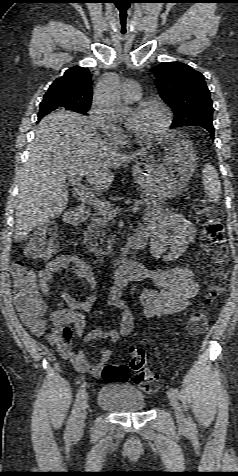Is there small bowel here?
<instances>
[{"label":"small bowel","mask_w":238,"mask_h":476,"mask_svg":"<svg viewBox=\"0 0 238 476\" xmlns=\"http://www.w3.org/2000/svg\"><path fill=\"white\" fill-rule=\"evenodd\" d=\"M150 235V251L153 256L165 261L180 257L195 240L196 230L192 223L181 214L166 210H157L146 214L141 228ZM69 270L75 276L84 279L89 286V294L84 300L75 298L67 288H63L61 296L67 308L50 314L52 334L58 337L54 345L63 358L68 359L80 372L99 378L105 364L110 360L109 349L100 351V361L93 364L82 351L72 347L74 334L82 342L88 343L100 338H107L116 343L128 336L135 326V315L126 303L123 290L132 281L150 280L157 289L144 290L140 295L143 316L146 319L161 318L178 313L191 305L198 294L199 286L193 273L185 267H172L166 270L148 269L135 263L132 271H117L114 274L115 285L111 288L107 306L121 310L120 323L117 329L101 328L85 332L86 318L98 297V281L91 265L73 254H63L49 260L38 275V292L47 295L51 292V284L55 274ZM41 299V298H40ZM44 310L47 309L41 299Z\"/></svg>","instance_id":"1"}]
</instances>
